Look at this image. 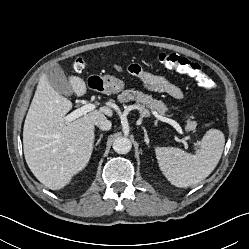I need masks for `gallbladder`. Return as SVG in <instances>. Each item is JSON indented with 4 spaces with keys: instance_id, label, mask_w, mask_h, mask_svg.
I'll return each instance as SVG.
<instances>
[{
    "instance_id": "gallbladder-1",
    "label": "gallbladder",
    "mask_w": 249,
    "mask_h": 249,
    "mask_svg": "<svg viewBox=\"0 0 249 249\" xmlns=\"http://www.w3.org/2000/svg\"><path fill=\"white\" fill-rule=\"evenodd\" d=\"M45 76L49 80L51 86L61 95L73 94L72 86L60 65L55 64L45 71Z\"/></svg>"
}]
</instances>
